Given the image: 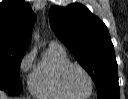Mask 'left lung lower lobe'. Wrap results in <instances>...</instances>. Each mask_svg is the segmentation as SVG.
Here are the masks:
<instances>
[{
	"label": "left lung lower lobe",
	"mask_w": 128,
	"mask_h": 99,
	"mask_svg": "<svg viewBox=\"0 0 128 99\" xmlns=\"http://www.w3.org/2000/svg\"><path fill=\"white\" fill-rule=\"evenodd\" d=\"M98 99H119V88L103 92Z\"/></svg>",
	"instance_id": "obj_1"
}]
</instances>
